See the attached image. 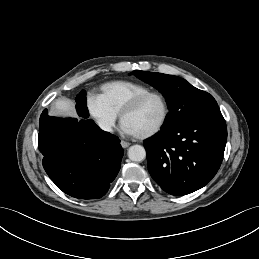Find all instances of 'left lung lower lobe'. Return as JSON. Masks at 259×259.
Wrapping results in <instances>:
<instances>
[{"label":"left lung lower lobe","instance_id":"1","mask_svg":"<svg viewBox=\"0 0 259 259\" xmlns=\"http://www.w3.org/2000/svg\"><path fill=\"white\" fill-rule=\"evenodd\" d=\"M227 140L222 114L159 131L144 142L148 171L171 195L190 194L217 173Z\"/></svg>","mask_w":259,"mask_h":259}]
</instances>
